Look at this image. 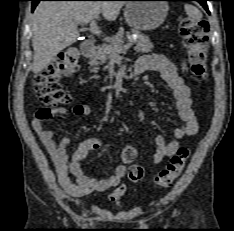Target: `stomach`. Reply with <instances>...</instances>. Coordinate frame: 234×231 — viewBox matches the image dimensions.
<instances>
[{
  "mask_svg": "<svg viewBox=\"0 0 234 231\" xmlns=\"http://www.w3.org/2000/svg\"><path fill=\"white\" fill-rule=\"evenodd\" d=\"M168 10L165 0H133L126 4L124 17L133 29L151 31L165 21Z\"/></svg>",
  "mask_w": 234,
  "mask_h": 231,
  "instance_id": "0dacf381",
  "label": "stomach"
}]
</instances>
